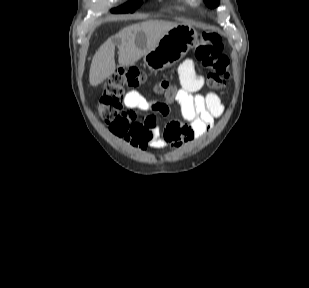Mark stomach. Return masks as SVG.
<instances>
[{
	"label": "stomach",
	"mask_w": 309,
	"mask_h": 288,
	"mask_svg": "<svg viewBox=\"0 0 309 288\" xmlns=\"http://www.w3.org/2000/svg\"><path fill=\"white\" fill-rule=\"evenodd\" d=\"M197 41L196 29L190 24L180 23L144 55V63L152 71L164 70L181 60Z\"/></svg>",
	"instance_id": "obj_1"
}]
</instances>
